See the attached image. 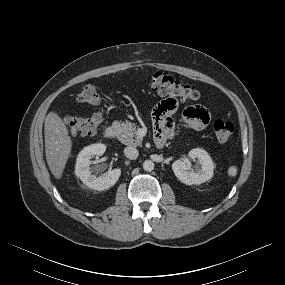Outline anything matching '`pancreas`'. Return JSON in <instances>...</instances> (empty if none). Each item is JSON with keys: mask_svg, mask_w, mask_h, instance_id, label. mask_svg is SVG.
<instances>
[{"mask_svg": "<svg viewBox=\"0 0 285 285\" xmlns=\"http://www.w3.org/2000/svg\"><path fill=\"white\" fill-rule=\"evenodd\" d=\"M114 127L118 129V140L125 145L140 146L142 139L136 136L137 127L131 122L115 121Z\"/></svg>", "mask_w": 285, "mask_h": 285, "instance_id": "1", "label": "pancreas"}]
</instances>
